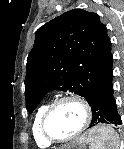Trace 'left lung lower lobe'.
<instances>
[{
    "instance_id": "1",
    "label": "left lung lower lobe",
    "mask_w": 124,
    "mask_h": 149,
    "mask_svg": "<svg viewBox=\"0 0 124 149\" xmlns=\"http://www.w3.org/2000/svg\"><path fill=\"white\" fill-rule=\"evenodd\" d=\"M112 79L113 74L97 84L85 97L92 111L89 128L98 123L121 125V117L113 95Z\"/></svg>"
}]
</instances>
